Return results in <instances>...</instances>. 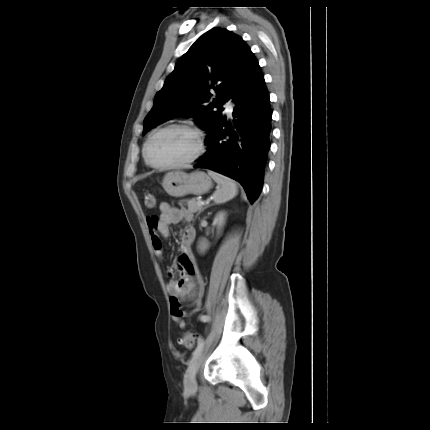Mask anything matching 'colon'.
I'll use <instances>...</instances> for the list:
<instances>
[{"mask_svg": "<svg viewBox=\"0 0 430 430\" xmlns=\"http://www.w3.org/2000/svg\"><path fill=\"white\" fill-rule=\"evenodd\" d=\"M145 204L148 208H153L156 204L155 196L152 193L145 194ZM199 335L194 332H186L180 339V343L184 345L185 348L191 350L195 347Z\"/></svg>", "mask_w": 430, "mask_h": 430, "instance_id": "1", "label": "colon"}]
</instances>
